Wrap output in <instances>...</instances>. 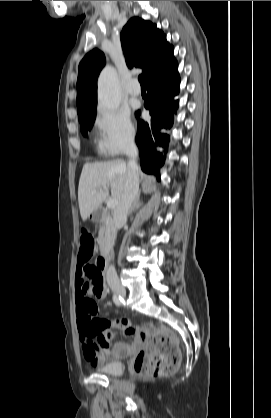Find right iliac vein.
I'll use <instances>...</instances> for the list:
<instances>
[{
    "instance_id": "63e3f726",
    "label": "right iliac vein",
    "mask_w": 271,
    "mask_h": 418,
    "mask_svg": "<svg viewBox=\"0 0 271 418\" xmlns=\"http://www.w3.org/2000/svg\"><path fill=\"white\" fill-rule=\"evenodd\" d=\"M112 290L117 294L118 296L124 298L126 296V290L120 286V285H114L112 287Z\"/></svg>"
}]
</instances>
